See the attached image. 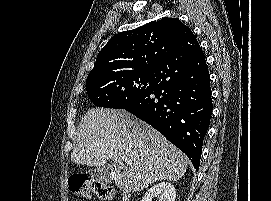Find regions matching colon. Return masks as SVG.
I'll return each instance as SVG.
<instances>
[{"label":"colon","instance_id":"obj_1","mask_svg":"<svg viewBox=\"0 0 271 201\" xmlns=\"http://www.w3.org/2000/svg\"><path fill=\"white\" fill-rule=\"evenodd\" d=\"M69 189L71 192L84 199H88L91 194H94L104 201L115 200L114 189L103 181L91 176H82L71 179L69 181Z\"/></svg>","mask_w":271,"mask_h":201}]
</instances>
